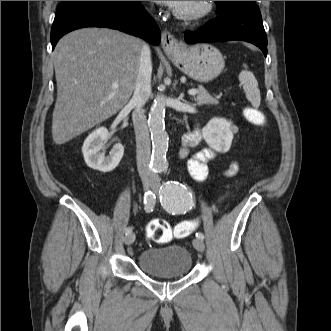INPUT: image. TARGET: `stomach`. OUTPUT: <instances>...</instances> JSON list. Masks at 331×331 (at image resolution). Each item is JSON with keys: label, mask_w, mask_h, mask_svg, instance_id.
<instances>
[{"label": "stomach", "mask_w": 331, "mask_h": 331, "mask_svg": "<svg viewBox=\"0 0 331 331\" xmlns=\"http://www.w3.org/2000/svg\"><path fill=\"white\" fill-rule=\"evenodd\" d=\"M169 57L183 73L198 82L215 79L225 66L221 52L207 43L181 46Z\"/></svg>", "instance_id": "0dacf381"}]
</instances>
